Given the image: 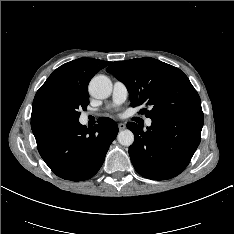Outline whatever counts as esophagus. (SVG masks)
<instances>
[{"label":"esophagus","mask_w":234,"mask_h":234,"mask_svg":"<svg viewBox=\"0 0 234 234\" xmlns=\"http://www.w3.org/2000/svg\"><path fill=\"white\" fill-rule=\"evenodd\" d=\"M118 128L119 130H124L126 128V125L124 123H119Z\"/></svg>","instance_id":"esophagus-1"}]
</instances>
